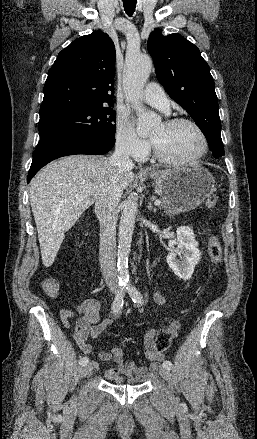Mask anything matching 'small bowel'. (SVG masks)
Here are the masks:
<instances>
[{"mask_svg": "<svg viewBox=\"0 0 257 439\" xmlns=\"http://www.w3.org/2000/svg\"><path fill=\"white\" fill-rule=\"evenodd\" d=\"M155 302L163 304L164 297L160 293L154 296ZM100 305L95 299H88L75 307L78 314L77 329L74 332V339L80 350L84 354H90L93 350L88 338H97L112 323L111 318L100 319ZM74 316V312L64 310L61 312V320L64 325L68 326L70 319ZM157 330L149 329L143 334V348L146 358L152 362L150 367L140 366L135 362L127 361L124 357L123 350L118 347L112 348L108 352H100V358L112 363L114 366L107 369L104 373L108 380H125L132 384H141L150 379L159 369V363L163 360L162 352L155 348V337ZM92 370H98L99 365L96 361L91 360Z\"/></svg>", "mask_w": 257, "mask_h": 439, "instance_id": "1", "label": "small bowel"}]
</instances>
